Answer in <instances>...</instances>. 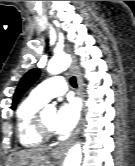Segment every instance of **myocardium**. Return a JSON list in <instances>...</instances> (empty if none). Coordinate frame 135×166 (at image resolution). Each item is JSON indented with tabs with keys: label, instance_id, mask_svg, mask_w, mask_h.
Returning a JSON list of instances; mask_svg holds the SVG:
<instances>
[{
	"label": "myocardium",
	"instance_id": "obj_1",
	"mask_svg": "<svg viewBox=\"0 0 135 166\" xmlns=\"http://www.w3.org/2000/svg\"><path fill=\"white\" fill-rule=\"evenodd\" d=\"M34 128L38 135H40L44 140H49L53 138V131L46 127L43 122V111L40 110L34 118Z\"/></svg>",
	"mask_w": 135,
	"mask_h": 166
}]
</instances>
